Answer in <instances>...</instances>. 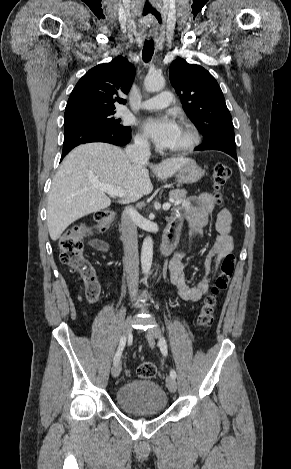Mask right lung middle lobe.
Masks as SVG:
<instances>
[{
  "instance_id": "obj_1",
  "label": "right lung middle lobe",
  "mask_w": 291,
  "mask_h": 469,
  "mask_svg": "<svg viewBox=\"0 0 291 469\" xmlns=\"http://www.w3.org/2000/svg\"><path fill=\"white\" fill-rule=\"evenodd\" d=\"M114 109H91L64 115V128L77 125L99 126L104 128H130L120 124L113 115Z\"/></svg>"
}]
</instances>
